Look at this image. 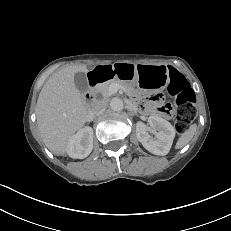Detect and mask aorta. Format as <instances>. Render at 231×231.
<instances>
[{
    "mask_svg": "<svg viewBox=\"0 0 231 231\" xmlns=\"http://www.w3.org/2000/svg\"><path fill=\"white\" fill-rule=\"evenodd\" d=\"M124 107V103L120 98H112L110 101V108L113 111H121Z\"/></svg>",
    "mask_w": 231,
    "mask_h": 231,
    "instance_id": "aorta-1",
    "label": "aorta"
}]
</instances>
